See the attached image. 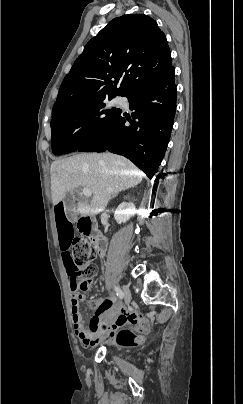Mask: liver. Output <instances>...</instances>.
<instances>
[{"mask_svg":"<svg viewBox=\"0 0 243 404\" xmlns=\"http://www.w3.org/2000/svg\"><path fill=\"white\" fill-rule=\"evenodd\" d=\"M51 194L54 206L64 200L67 192L78 186L93 194L90 204H78L81 216H95L108 206L113 194L138 186L143 172L122 156L115 154H78L51 164Z\"/></svg>","mask_w":243,"mask_h":404,"instance_id":"obj_1","label":"liver"}]
</instances>
